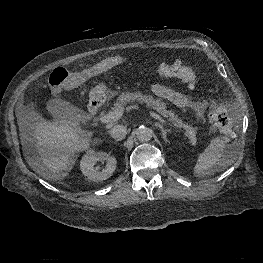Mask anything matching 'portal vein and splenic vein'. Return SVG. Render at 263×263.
<instances>
[{"label":"portal vein and splenic vein","mask_w":263,"mask_h":263,"mask_svg":"<svg viewBox=\"0 0 263 263\" xmlns=\"http://www.w3.org/2000/svg\"><path fill=\"white\" fill-rule=\"evenodd\" d=\"M124 113V107H119L117 109H115L114 111H111L109 112L108 114L104 115V116H101L99 118V121L101 123H111L113 121H116L118 119L121 118V116L123 115ZM149 114L159 120L160 122L162 123H166V120H164L160 115H158L157 113L153 112V111H149Z\"/></svg>","instance_id":"obj_1"}]
</instances>
